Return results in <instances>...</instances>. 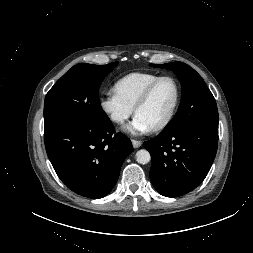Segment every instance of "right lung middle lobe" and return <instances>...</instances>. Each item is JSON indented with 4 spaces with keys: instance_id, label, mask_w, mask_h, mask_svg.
I'll use <instances>...</instances> for the list:
<instances>
[{
    "instance_id": "obj_1",
    "label": "right lung middle lobe",
    "mask_w": 253,
    "mask_h": 253,
    "mask_svg": "<svg viewBox=\"0 0 253 253\" xmlns=\"http://www.w3.org/2000/svg\"><path fill=\"white\" fill-rule=\"evenodd\" d=\"M118 64L73 66L49 90L44 102V128L66 122L89 123L107 118L98 97L103 79Z\"/></svg>"
}]
</instances>
